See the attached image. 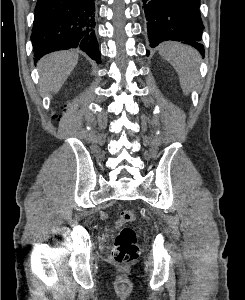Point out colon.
Listing matches in <instances>:
<instances>
[{
  "instance_id": "colon-1",
  "label": "colon",
  "mask_w": 245,
  "mask_h": 300,
  "mask_svg": "<svg viewBox=\"0 0 245 300\" xmlns=\"http://www.w3.org/2000/svg\"><path fill=\"white\" fill-rule=\"evenodd\" d=\"M135 218L136 213L133 209H124L116 221L119 233L114 241L112 258L119 265H128L139 256L136 233L132 228L126 226Z\"/></svg>"
}]
</instances>
